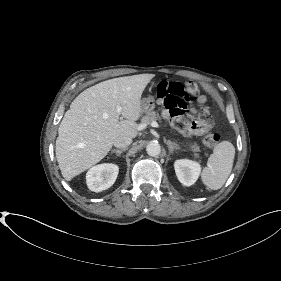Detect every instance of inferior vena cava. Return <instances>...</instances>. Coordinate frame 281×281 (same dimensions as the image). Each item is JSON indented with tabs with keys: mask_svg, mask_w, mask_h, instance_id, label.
Wrapping results in <instances>:
<instances>
[{
	"mask_svg": "<svg viewBox=\"0 0 281 281\" xmlns=\"http://www.w3.org/2000/svg\"><path fill=\"white\" fill-rule=\"evenodd\" d=\"M131 143H132V138L127 137V136L117 137L113 142L115 147L121 148V149L126 148Z\"/></svg>",
	"mask_w": 281,
	"mask_h": 281,
	"instance_id": "obj_1",
	"label": "inferior vena cava"
}]
</instances>
